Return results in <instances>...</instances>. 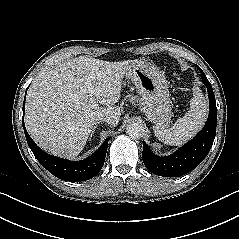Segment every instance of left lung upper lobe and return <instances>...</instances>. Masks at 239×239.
Wrapping results in <instances>:
<instances>
[{"mask_svg": "<svg viewBox=\"0 0 239 239\" xmlns=\"http://www.w3.org/2000/svg\"><path fill=\"white\" fill-rule=\"evenodd\" d=\"M199 71L201 72V77H202V80H207V77L206 75L204 74V72L201 70V68L199 66H197Z\"/></svg>", "mask_w": 239, "mask_h": 239, "instance_id": "obj_1", "label": "left lung upper lobe"}]
</instances>
